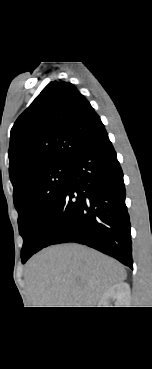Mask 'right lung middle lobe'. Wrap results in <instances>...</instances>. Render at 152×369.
<instances>
[{"instance_id":"dd1d6c3e","label":"right lung middle lobe","mask_w":152,"mask_h":369,"mask_svg":"<svg viewBox=\"0 0 152 369\" xmlns=\"http://www.w3.org/2000/svg\"><path fill=\"white\" fill-rule=\"evenodd\" d=\"M68 163L58 164L30 176L24 187L13 195L18 211L20 235L24 239L22 262L32 256L57 206L67 182Z\"/></svg>"}]
</instances>
